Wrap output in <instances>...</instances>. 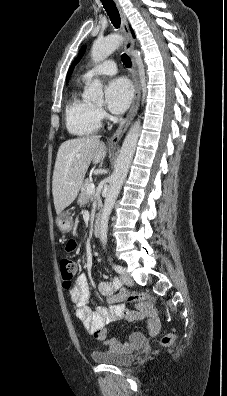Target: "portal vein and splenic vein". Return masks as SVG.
I'll use <instances>...</instances> for the list:
<instances>
[{
  "mask_svg": "<svg viewBox=\"0 0 227 396\" xmlns=\"http://www.w3.org/2000/svg\"><path fill=\"white\" fill-rule=\"evenodd\" d=\"M94 185H90L88 188H87V193L90 195V194H92L93 192H94Z\"/></svg>",
  "mask_w": 227,
  "mask_h": 396,
  "instance_id": "18ae733b",
  "label": "portal vein and splenic vein"
}]
</instances>
